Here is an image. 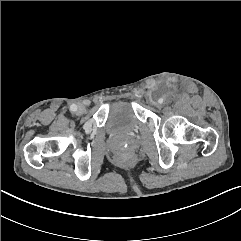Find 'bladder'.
<instances>
[{
    "label": "bladder",
    "mask_w": 241,
    "mask_h": 241,
    "mask_svg": "<svg viewBox=\"0 0 241 241\" xmlns=\"http://www.w3.org/2000/svg\"><path fill=\"white\" fill-rule=\"evenodd\" d=\"M134 109L126 102H115L108 110L105 121V131L115 137H127L140 128Z\"/></svg>",
    "instance_id": "1"
}]
</instances>
